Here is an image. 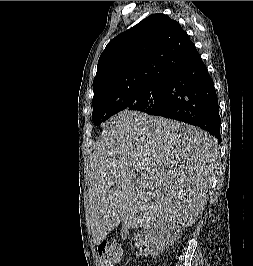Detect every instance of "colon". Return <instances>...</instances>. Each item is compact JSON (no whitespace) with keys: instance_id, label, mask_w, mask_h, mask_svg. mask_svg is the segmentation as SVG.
I'll return each instance as SVG.
<instances>
[{"instance_id":"colon-1","label":"colon","mask_w":253,"mask_h":266,"mask_svg":"<svg viewBox=\"0 0 253 266\" xmlns=\"http://www.w3.org/2000/svg\"><path fill=\"white\" fill-rule=\"evenodd\" d=\"M97 253L102 266H117L123 257L122 250L111 240L100 242Z\"/></svg>"}]
</instances>
